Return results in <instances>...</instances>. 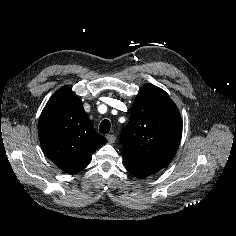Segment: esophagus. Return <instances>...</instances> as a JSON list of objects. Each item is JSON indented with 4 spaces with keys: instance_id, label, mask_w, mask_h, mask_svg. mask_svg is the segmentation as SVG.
<instances>
[{
    "instance_id": "obj_1",
    "label": "esophagus",
    "mask_w": 236,
    "mask_h": 236,
    "mask_svg": "<svg viewBox=\"0 0 236 236\" xmlns=\"http://www.w3.org/2000/svg\"><path fill=\"white\" fill-rule=\"evenodd\" d=\"M107 140H108V142H109L110 144H112V143L115 142L116 137H115V135L110 134V135H107Z\"/></svg>"
}]
</instances>
